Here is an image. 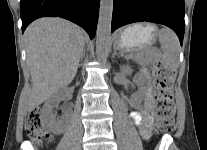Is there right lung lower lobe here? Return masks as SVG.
Wrapping results in <instances>:
<instances>
[{
  "label": "right lung lower lobe",
  "instance_id": "98d812e1",
  "mask_svg": "<svg viewBox=\"0 0 207 150\" xmlns=\"http://www.w3.org/2000/svg\"><path fill=\"white\" fill-rule=\"evenodd\" d=\"M100 0H21L22 31L35 19L52 16L68 19L95 36Z\"/></svg>",
  "mask_w": 207,
  "mask_h": 150
}]
</instances>
